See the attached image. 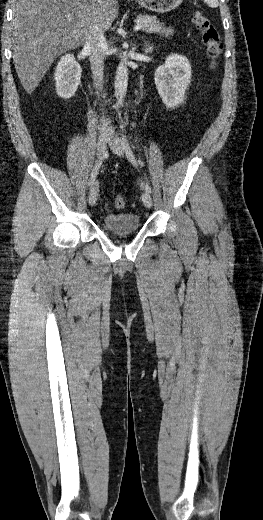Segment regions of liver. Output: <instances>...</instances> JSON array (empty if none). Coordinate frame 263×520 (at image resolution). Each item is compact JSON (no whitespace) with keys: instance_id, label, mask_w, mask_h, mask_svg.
Listing matches in <instances>:
<instances>
[{"instance_id":"obj_1","label":"liver","mask_w":263,"mask_h":520,"mask_svg":"<svg viewBox=\"0 0 263 520\" xmlns=\"http://www.w3.org/2000/svg\"><path fill=\"white\" fill-rule=\"evenodd\" d=\"M118 11L117 0H14L13 62L25 91L36 89L57 56L85 42L94 21L107 31Z\"/></svg>"}]
</instances>
